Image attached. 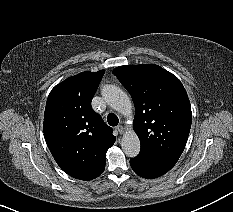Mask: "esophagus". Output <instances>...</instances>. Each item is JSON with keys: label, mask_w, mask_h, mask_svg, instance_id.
Listing matches in <instances>:
<instances>
[{"label": "esophagus", "mask_w": 233, "mask_h": 212, "mask_svg": "<svg viewBox=\"0 0 233 212\" xmlns=\"http://www.w3.org/2000/svg\"><path fill=\"white\" fill-rule=\"evenodd\" d=\"M116 130L120 133V134H123L124 133V127L122 126V125H118L117 127H116Z\"/></svg>", "instance_id": "obj_1"}]
</instances>
